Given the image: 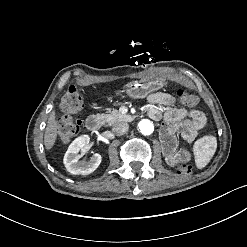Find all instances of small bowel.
I'll return each instance as SVG.
<instances>
[{
  "label": "small bowel",
  "mask_w": 247,
  "mask_h": 247,
  "mask_svg": "<svg viewBox=\"0 0 247 247\" xmlns=\"http://www.w3.org/2000/svg\"><path fill=\"white\" fill-rule=\"evenodd\" d=\"M147 113L155 121L164 118L161 129V140L164 155L172 163L176 151V134L187 142H193L205 122L204 114L197 109L189 110L186 107H172L162 113L160 106H173L175 98L169 93L156 92L148 97Z\"/></svg>",
  "instance_id": "c3829d8e"
}]
</instances>
